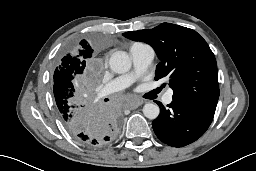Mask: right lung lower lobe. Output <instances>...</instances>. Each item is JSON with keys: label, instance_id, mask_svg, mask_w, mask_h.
<instances>
[{"label": "right lung lower lobe", "instance_id": "98d812e1", "mask_svg": "<svg viewBox=\"0 0 256 171\" xmlns=\"http://www.w3.org/2000/svg\"><path fill=\"white\" fill-rule=\"evenodd\" d=\"M66 115L69 122L60 116L66 128L86 146L99 147L110 143L121 125V115L116 104L94 101L89 96L83 102L72 104Z\"/></svg>", "mask_w": 256, "mask_h": 171}]
</instances>
